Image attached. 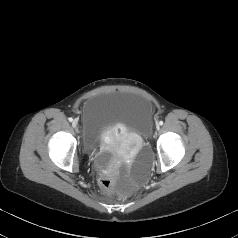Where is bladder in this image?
I'll return each instance as SVG.
<instances>
[{
  "label": "bladder",
  "mask_w": 238,
  "mask_h": 238,
  "mask_svg": "<svg viewBox=\"0 0 238 238\" xmlns=\"http://www.w3.org/2000/svg\"><path fill=\"white\" fill-rule=\"evenodd\" d=\"M152 103L144 96L121 91L99 93L86 100L81 115L82 142L88 152H94L105 133L115 125H123L130 133L146 138L152 129ZM105 153L95 157L97 170L106 168Z\"/></svg>",
  "instance_id": "1"
}]
</instances>
